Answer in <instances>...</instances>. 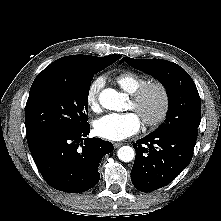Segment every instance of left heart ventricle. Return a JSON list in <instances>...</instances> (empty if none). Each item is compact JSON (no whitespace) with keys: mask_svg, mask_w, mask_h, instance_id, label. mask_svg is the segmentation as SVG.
<instances>
[{"mask_svg":"<svg viewBox=\"0 0 221 221\" xmlns=\"http://www.w3.org/2000/svg\"><path fill=\"white\" fill-rule=\"evenodd\" d=\"M161 98L156 90H151L145 96L141 105L136 109L133 103H130V108L134 109L141 118H151L157 114L160 109Z\"/></svg>","mask_w":221,"mask_h":221,"instance_id":"1","label":"left heart ventricle"}]
</instances>
